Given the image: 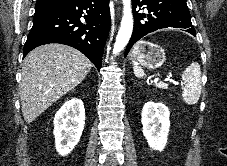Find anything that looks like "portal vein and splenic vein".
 Returning <instances> with one entry per match:
<instances>
[{
	"instance_id": "portal-vein-and-splenic-vein-1",
	"label": "portal vein and splenic vein",
	"mask_w": 227,
	"mask_h": 166,
	"mask_svg": "<svg viewBox=\"0 0 227 166\" xmlns=\"http://www.w3.org/2000/svg\"><path fill=\"white\" fill-rule=\"evenodd\" d=\"M157 81H158V78H156V79L154 80V82H157ZM165 81H169V82L173 83L174 85H179V84H180L179 82H177V81H175V80H173V79H171V78H166ZM163 85H164V86H167V85L164 84V83H163ZM181 85H182V83H181Z\"/></svg>"
}]
</instances>
